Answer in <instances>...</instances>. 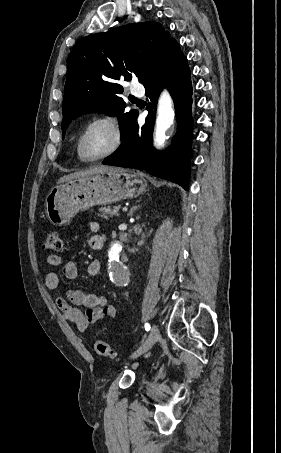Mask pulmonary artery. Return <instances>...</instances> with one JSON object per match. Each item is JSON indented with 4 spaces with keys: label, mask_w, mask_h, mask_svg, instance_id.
I'll return each instance as SVG.
<instances>
[{
    "label": "pulmonary artery",
    "mask_w": 281,
    "mask_h": 453,
    "mask_svg": "<svg viewBox=\"0 0 281 453\" xmlns=\"http://www.w3.org/2000/svg\"><path fill=\"white\" fill-rule=\"evenodd\" d=\"M133 94L137 95V96H142L144 94L143 91H132Z\"/></svg>",
    "instance_id": "e3ab8cb5"
}]
</instances>
